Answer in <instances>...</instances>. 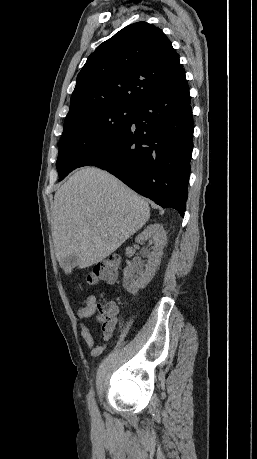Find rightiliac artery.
<instances>
[{
  "label": "right iliac artery",
  "instance_id": "right-iliac-artery-1",
  "mask_svg": "<svg viewBox=\"0 0 257 459\" xmlns=\"http://www.w3.org/2000/svg\"><path fill=\"white\" fill-rule=\"evenodd\" d=\"M88 406H89L90 413L93 416H96L98 414V409H97V406L94 400L93 390H90L89 395H88Z\"/></svg>",
  "mask_w": 257,
  "mask_h": 459
}]
</instances>
